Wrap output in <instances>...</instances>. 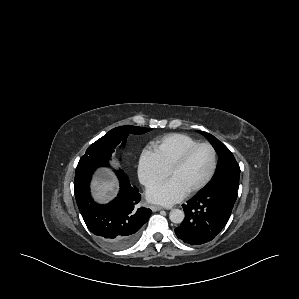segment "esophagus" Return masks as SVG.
<instances>
[{"mask_svg": "<svg viewBox=\"0 0 299 299\" xmlns=\"http://www.w3.org/2000/svg\"><path fill=\"white\" fill-rule=\"evenodd\" d=\"M162 209H163V207H161V206H157V205L151 206V210L153 212H156V211H159V210H162Z\"/></svg>", "mask_w": 299, "mask_h": 299, "instance_id": "1", "label": "esophagus"}]
</instances>
